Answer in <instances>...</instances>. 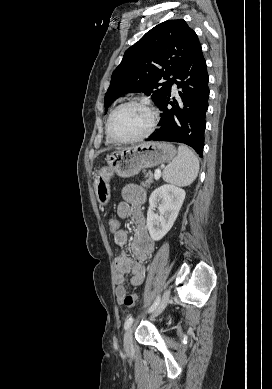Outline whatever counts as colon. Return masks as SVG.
Returning <instances> with one entry per match:
<instances>
[{
    "label": "colon",
    "instance_id": "colon-1",
    "mask_svg": "<svg viewBox=\"0 0 272 389\" xmlns=\"http://www.w3.org/2000/svg\"><path fill=\"white\" fill-rule=\"evenodd\" d=\"M108 227L111 233L115 234L120 230V220L112 217L108 221ZM137 303V296L135 294L126 295L123 299V304L127 307H133Z\"/></svg>",
    "mask_w": 272,
    "mask_h": 389
}]
</instances>
